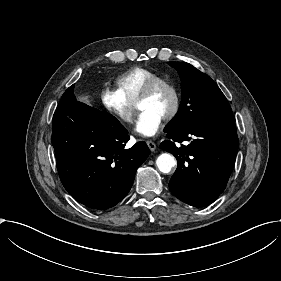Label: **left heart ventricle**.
<instances>
[{
	"mask_svg": "<svg viewBox=\"0 0 281 281\" xmlns=\"http://www.w3.org/2000/svg\"><path fill=\"white\" fill-rule=\"evenodd\" d=\"M172 105V95L166 87L158 88L148 99L139 103L138 108L147 110L164 120Z\"/></svg>",
	"mask_w": 281,
	"mask_h": 281,
	"instance_id": "obj_1",
	"label": "left heart ventricle"
}]
</instances>
